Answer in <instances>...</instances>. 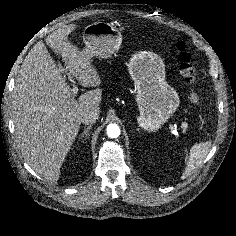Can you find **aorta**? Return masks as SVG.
<instances>
[{"instance_id": "aorta-1", "label": "aorta", "mask_w": 236, "mask_h": 236, "mask_svg": "<svg viewBox=\"0 0 236 236\" xmlns=\"http://www.w3.org/2000/svg\"><path fill=\"white\" fill-rule=\"evenodd\" d=\"M120 128L117 124H109L107 126V135L110 138H117L120 136Z\"/></svg>"}]
</instances>
